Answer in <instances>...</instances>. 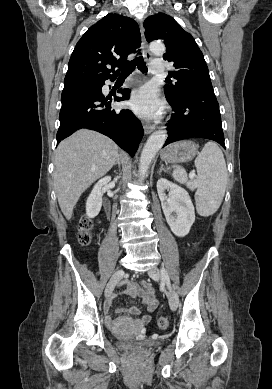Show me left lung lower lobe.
<instances>
[{"mask_svg": "<svg viewBox=\"0 0 272 389\" xmlns=\"http://www.w3.org/2000/svg\"><path fill=\"white\" fill-rule=\"evenodd\" d=\"M167 100L175 113L169 120L164 146L182 139L205 138L225 148L219 104L212 86L188 88L178 99Z\"/></svg>", "mask_w": 272, "mask_h": 389, "instance_id": "obj_1", "label": "left lung lower lobe"}]
</instances>
